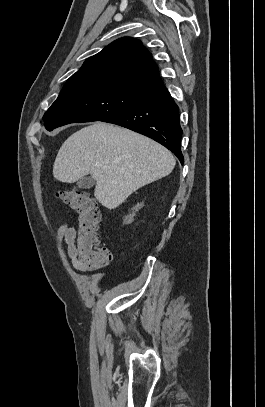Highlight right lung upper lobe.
Returning a JSON list of instances; mask_svg holds the SVG:
<instances>
[{"label":"right lung upper lobe","mask_w":265,"mask_h":407,"mask_svg":"<svg viewBox=\"0 0 265 407\" xmlns=\"http://www.w3.org/2000/svg\"><path fill=\"white\" fill-rule=\"evenodd\" d=\"M80 75H105L155 88L163 84L151 54L139 40L126 37L112 42L88 58L71 77Z\"/></svg>","instance_id":"1"}]
</instances>
